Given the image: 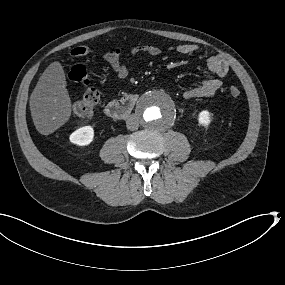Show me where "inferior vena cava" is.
Wrapping results in <instances>:
<instances>
[{"label": "inferior vena cava", "mask_w": 285, "mask_h": 285, "mask_svg": "<svg viewBox=\"0 0 285 285\" xmlns=\"http://www.w3.org/2000/svg\"><path fill=\"white\" fill-rule=\"evenodd\" d=\"M126 126L127 129L129 130H137L139 127V123H138V117L136 115H130L127 119H126Z\"/></svg>", "instance_id": "1"}]
</instances>
